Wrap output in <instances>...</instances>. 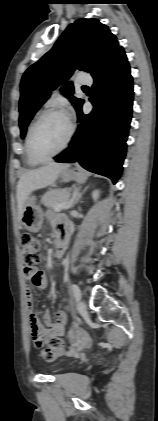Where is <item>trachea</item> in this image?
Segmentation results:
<instances>
[{
	"instance_id": "1",
	"label": "trachea",
	"mask_w": 158,
	"mask_h": 421,
	"mask_svg": "<svg viewBox=\"0 0 158 421\" xmlns=\"http://www.w3.org/2000/svg\"><path fill=\"white\" fill-rule=\"evenodd\" d=\"M84 88H88L87 86H83Z\"/></svg>"
}]
</instances>
